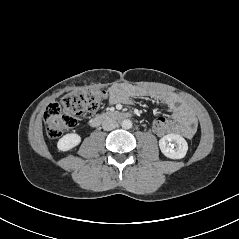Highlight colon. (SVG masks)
Instances as JSON below:
<instances>
[{"instance_id":"obj_1","label":"colon","mask_w":239,"mask_h":239,"mask_svg":"<svg viewBox=\"0 0 239 239\" xmlns=\"http://www.w3.org/2000/svg\"><path fill=\"white\" fill-rule=\"evenodd\" d=\"M106 96L104 90L87 89L68 93L58 103L49 104L43 115L48 136L57 138L75 127L82 117L94 114ZM171 130L172 123L165 116H158L151 123V131L158 138L167 136Z\"/></svg>"}]
</instances>
